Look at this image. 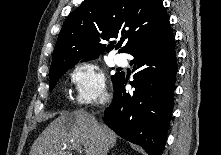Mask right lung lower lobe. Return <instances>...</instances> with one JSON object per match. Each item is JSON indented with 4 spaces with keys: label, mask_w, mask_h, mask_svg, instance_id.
Returning a JSON list of instances; mask_svg holds the SVG:
<instances>
[{
    "label": "right lung lower lobe",
    "mask_w": 221,
    "mask_h": 155,
    "mask_svg": "<svg viewBox=\"0 0 221 155\" xmlns=\"http://www.w3.org/2000/svg\"><path fill=\"white\" fill-rule=\"evenodd\" d=\"M134 57L135 88L127 79L114 80V98L104 122L122 138L142 146L149 155H162L173 109L177 72L175 38L168 23L143 36L129 52Z\"/></svg>",
    "instance_id": "98d812e1"
}]
</instances>
